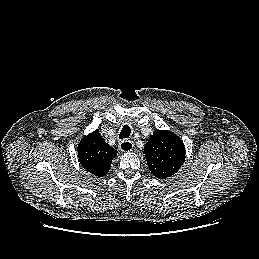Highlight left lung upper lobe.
I'll list each match as a JSON object with an SVG mask.
<instances>
[{
    "label": "left lung upper lobe",
    "instance_id": "5c2ea615",
    "mask_svg": "<svg viewBox=\"0 0 259 259\" xmlns=\"http://www.w3.org/2000/svg\"><path fill=\"white\" fill-rule=\"evenodd\" d=\"M148 167L159 179L174 175L185 160V147L173 132L157 130L144 148Z\"/></svg>",
    "mask_w": 259,
    "mask_h": 259
}]
</instances>
